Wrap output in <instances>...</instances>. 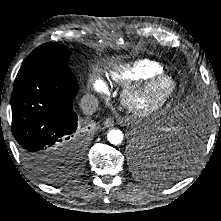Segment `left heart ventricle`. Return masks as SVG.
<instances>
[{
    "mask_svg": "<svg viewBox=\"0 0 221 221\" xmlns=\"http://www.w3.org/2000/svg\"><path fill=\"white\" fill-rule=\"evenodd\" d=\"M167 83H159L157 84L150 92L149 94L146 96L145 98V102H150V101H154L156 99H158L159 97H161L165 91L167 90Z\"/></svg>",
    "mask_w": 221,
    "mask_h": 221,
    "instance_id": "1",
    "label": "left heart ventricle"
}]
</instances>
